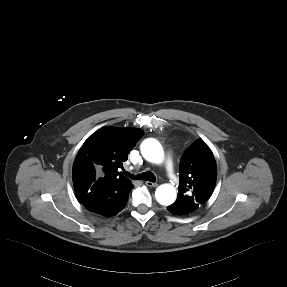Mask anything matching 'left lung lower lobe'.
Wrapping results in <instances>:
<instances>
[{"label":"left lung lower lobe","mask_w":287,"mask_h":287,"mask_svg":"<svg viewBox=\"0 0 287 287\" xmlns=\"http://www.w3.org/2000/svg\"><path fill=\"white\" fill-rule=\"evenodd\" d=\"M167 209L173 214H178V215L187 214V212L184 209L176 206L175 204L168 206Z\"/></svg>","instance_id":"left-lung-lower-lobe-1"}]
</instances>
